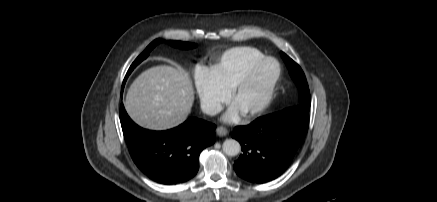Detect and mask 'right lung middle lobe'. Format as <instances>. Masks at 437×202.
<instances>
[{
  "label": "right lung middle lobe",
  "mask_w": 437,
  "mask_h": 202,
  "mask_svg": "<svg viewBox=\"0 0 437 202\" xmlns=\"http://www.w3.org/2000/svg\"><path fill=\"white\" fill-rule=\"evenodd\" d=\"M160 42V40L159 39H157V40H154L144 51H143V53L142 54H140L139 55V57H137V59L132 63V65L130 66V68H129V70H128V72H127V74H126V76H125V79H124V82H123V85H122V91H123V87H124V84H125V82H126V79L128 78V76L130 75V73L134 70V68L141 62V61H143L144 59H146L147 57H148V55H149V53H150V51L158 44ZM171 45H173V46H175V47H178V48H184V49H188V48H193V47H195L196 45L195 44H191V43H187V42H181V41H170L169 42Z\"/></svg>",
  "instance_id": "right-lung-middle-lobe-1"
}]
</instances>
